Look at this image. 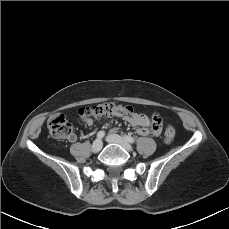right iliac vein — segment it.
Here are the masks:
<instances>
[{"instance_id":"1","label":"right iliac vein","mask_w":229,"mask_h":229,"mask_svg":"<svg viewBox=\"0 0 229 229\" xmlns=\"http://www.w3.org/2000/svg\"><path fill=\"white\" fill-rule=\"evenodd\" d=\"M102 147H103L102 141L100 139H97L92 144V151L94 153H97L102 149Z\"/></svg>"}]
</instances>
